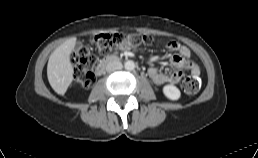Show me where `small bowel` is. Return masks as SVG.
<instances>
[{"mask_svg": "<svg viewBox=\"0 0 258 158\" xmlns=\"http://www.w3.org/2000/svg\"><path fill=\"white\" fill-rule=\"evenodd\" d=\"M168 48L178 52L170 57V64L175 68V71L162 73L156 67H150L148 75L154 84H176L181 80L185 71L195 76L200 74L199 66L189 60L190 50L186 46L172 41L168 43Z\"/></svg>", "mask_w": 258, "mask_h": 158, "instance_id": "c3829d8e", "label": "small bowel"}]
</instances>
